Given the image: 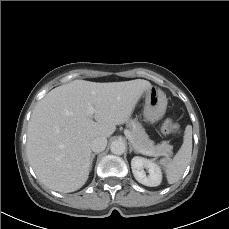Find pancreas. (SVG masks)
<instances>
[{"label": "pancreas", "instance_id": "1", "mask_svg": "<svg viewBox=\"0 0 229 229\" xmlns=\"http://www.w3.org/2000/svg\"><path fill=\"white\" fill-rule=\"evenodd\" d=\"M129 131L133 140L143 149L153 151L155 157L165 156L166 159L172 155L173 147L166 141L161 144L154 145V142L149 139L142 125L136 121L132 120L128 123Z\"/></svg>", "mask_w": 229, "mask_h": 229}]
</instances>
